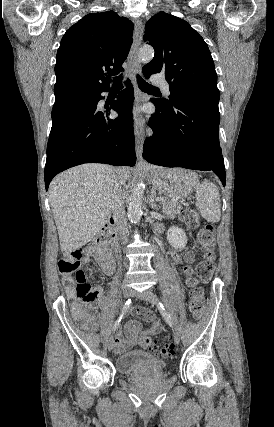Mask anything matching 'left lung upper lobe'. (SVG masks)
Listing matches in <instances>:
<instances>
[{
    "mask_svg": "<svg viewBox=\"0 0 274 427\" xmlns=\"http://www.w3.org/2000/svg\"><path fill=\"white\" fill-rule=\"evenodd\" d=\"M144 41L154 47L145 75L165 73L170 84L169 103L175 99H199L218 104L217 74L203 38L178 17L160 12L145 25Z\"/></svg>",
    "mask_w": 274,
    "mask_h": 427,
    "instance_id": "obj_1",
    "label": "left lung upper lobe"
}]
</instances>
